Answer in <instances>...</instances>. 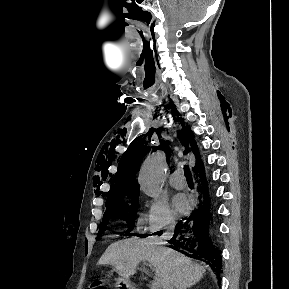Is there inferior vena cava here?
Instances as JSON below:
<instances>
[{"label": "inferior vena cava", "instance_id": "obj_1", "mask_svg": "<svg viewBox=\"0 0 289 289\" xmlns=\"http://www.w3.org/2000/svg\"><path fill=\"white\" fill-rule=\"evenodd\" d=\"M174 227H175V223L172 222L168 227H167V231L165 233L166 238H170L173 235V231H174ZM163 289H173L172 283H171V279L169 274H167L165 276V279L163 281L162 284Z\"/></svg>", "mask_w": 289, "mask_h": 289}]
</instances>
